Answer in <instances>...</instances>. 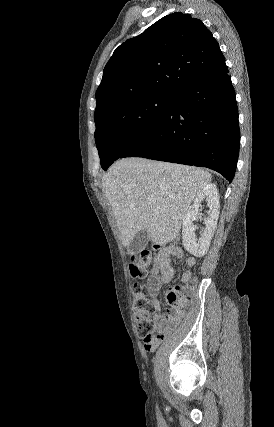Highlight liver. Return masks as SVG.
Returning a JSON list of instances; mask_svg holds the SVG:
<instances>
[{"label":"liver","instance_id":"liver-1","mask_svg":"<svg viewBox=\"0 0 274 427\" xmlns=\"http://www.w3.org/2000/svg\"><path fill=\"white\" fill-rule=\"evenodd\" d=\"M203 168L153 162L144 158L117 160L102 178V188L129 245L140 229L165 245L177 237L184 215L197 192L211 182Z\"/></svg>","mask_w":274,"mask_h":427}]
</instances>
